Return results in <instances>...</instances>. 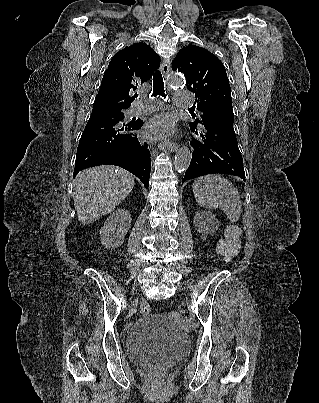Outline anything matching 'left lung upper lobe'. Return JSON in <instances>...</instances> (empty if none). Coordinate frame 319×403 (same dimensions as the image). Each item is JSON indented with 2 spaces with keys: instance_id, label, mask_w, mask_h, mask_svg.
Instances as JSON below:
<instances>
[{
  "instance_id": "left-lung-upper-lobe-1",
  "label": "left lung upper lobe",
  "mask_w": 319,
  "mask_h": 403,
  "mask_svg": "<svg viewBox=\"0 0 319 403\" xmlns=\"http://www.w3.org/2000/svg\"><path fill=\"white\" fill-rule=\"evenodd\" d=\"M173 70L183 72L187 88L196 94V109L203 121L219 115H233L229 80L222 62L208 50L189 45L183 47L172 63Z\"/></svg>"
}]
</instances>
